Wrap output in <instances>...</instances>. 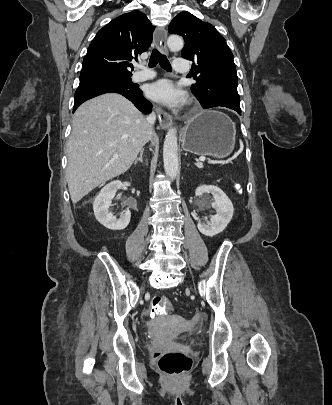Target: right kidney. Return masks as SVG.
<instances>
[{
	"label": "right kidney",
	"mask_w": 332,
	"mask_h": 405,
	"mask_svg": "<svg viewBox=\"0 0 332 405\" xmlns=\"http://www.w3.org/2000/svg\"><path fill=\"white\" fill-rule=\"evenodd\" d=\"M127 186H130L129 182H121L119 180L112 181L101 189L94 200L93 210L95 218L107 229L123 230L130 223L131 212L129 209L125 210L120 218H117L109 211L111 200L114 198L117 190Z\"/></svg>",
	"instance_id": "right-kidney-1"
}]
</instances>
